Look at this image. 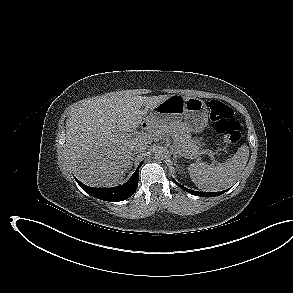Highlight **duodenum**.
<instances>
[{
    "label": "duodenum",
    "mask_w": 293,
    "mask_h": 293,
    "mask_svg": "<svg viewBox=\"0 0 293 293\" xmlns=\"http://www.w3.org/2000/svg\"><path fill=\"white\" fill-rule=\"evenodd\" d=\"M142 128L143 129H147L148 128V123L147 122H143L142 123Z\"/></svg>",
    "instance_id": "1"
}]
</instances>
